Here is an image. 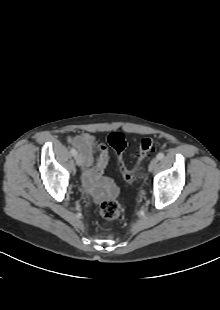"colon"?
Returning a JSON list of instances; mask_svg holds the SVG:
<instances>
[{"mask_svg":"<svg viewBox=\"0 0 220 310\" xmlns=\"http://www.w3.org/2000/svg\"><path fill=\"white\" fill-rule=\"evenodd\" d=\"M108 142L114 149L118 161V166L123 174L124 179L129 183H134L139 180V164L156 148V141L153 138L145 137L139 142L138 162L135 169H129L124 161V150L126 147V140L123 134L113 132L108 137ZM116 190L112 193L115 194ZM122 213L121 204L114 198L105 200L100 205V215L108 220H114L120 217Z\"/></svg>","mask_w":220,"mask_h":310,"instance_id":"5ec220e1","label":"colon"}]
</instances>
